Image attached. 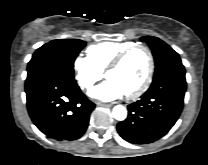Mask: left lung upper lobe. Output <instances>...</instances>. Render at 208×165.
<instances>
[{"instance_id":"1","label":"left lung upper lobe","mask_w":208,"mask_h":165,"mask_svg":"<svg viewBox=\"0 0 208 165\" xmlns=\"http://www.w3.org/2000/svg\"><path fill=\"white\" fill-rule=\"evenodd\" d=\"M141 40L147 42L150 46L155 60L154 77L166 72L172 68L184 67L179 54L169 45L157 37L145 36Z\"/></svg>"}]
</instances>
